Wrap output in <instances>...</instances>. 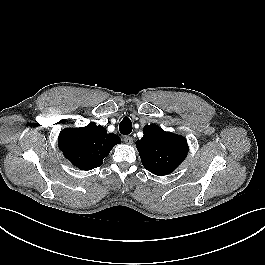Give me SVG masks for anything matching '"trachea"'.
I'll return each instance as SVG.
<instances>
[{"instance_id":"3493384b","label":"trachea","mask_w":265,"mask_h":265,"mask_svg":"<svg viewBox=\"0 0 265 265\" xmlns=\"http://www.w3.org/2000/svg\"><path fill=\"white\" fill-rule=\"evenodd\" d=\"M119 130L123 135H128L132 132V122L128 117H125L120 122Z\"/></svg>"}]
</instances>
